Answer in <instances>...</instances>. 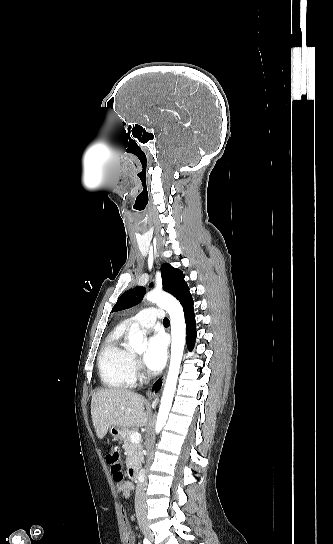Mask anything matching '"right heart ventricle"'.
I'll list each match as a JSON object with an SVG mask.
<instances>
[{
    "instance_id": "right-heart-ventricle-1",
    "label": "right heart ventricle",
    "mask_w": 333,
    "mask_h": 544,
    "mask_svg": "<svg viewBox=\"0 0 333 544\" xmlns=\"http://www.w3.org/2000/svg\"><path fill=\"white\" fill-rule=\"evenodd\" d=\"M124 326L111 332L105 339L99 356L98 369L102 383L109 388H131L135 384L133 353L123 343Z\"/></svg>"
}]
</instances>
